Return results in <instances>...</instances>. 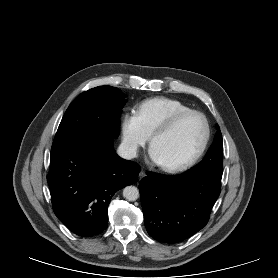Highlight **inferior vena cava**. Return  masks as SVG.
<instances>
[{
    "mask_svg": "<svg viewBox=\"0 0 278 278\" xmlns=\"http://www.w3.org/2000/svg\"><path fill=\"white\" fill-rule=\"evenodd\" d=\"M117 153L120 157L130 160L137 155V146L134 144L121 143L118 147Z\"/></svg>",
    "mask_w": 278,
    "mask_h": 278,
    "instance_id": "inferior-vena-cava-1",
    "label": "inferior vena cava"
}]
</instances>
